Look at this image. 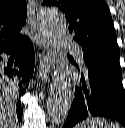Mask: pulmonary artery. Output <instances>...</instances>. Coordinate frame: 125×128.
Wrapping results in <instances>:
<instances>
[{
  "mask_svg": "<svg viewBox=\"0 0 125 128\" xmlns=\"http://www.w3.org/2000/svg\"><path fill=\"white\" fill-rule=\"evenodd\" d=\"M60 44L62 47L73 48L75 56L79 60H82L83 52L79 48H77L76 42L73 39H71L69 37H62V38H60Z\"/></svg>",
  "mask_w": 125,
  "mask_h": 128,
  "instance_id": "pulmonary-artery-1",
  "label": "pulmonary artery"
}]
</instances>
